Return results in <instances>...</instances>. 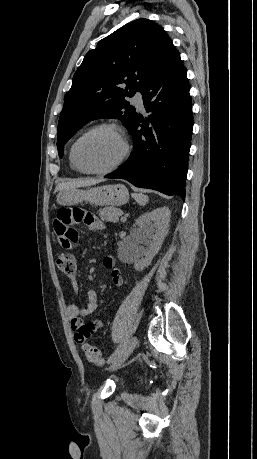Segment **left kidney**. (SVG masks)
<instances>
[{"label":"left kidney","mask_w":257,"mask_h":459,"mask_svg":"<svg viewBox=\"0 0 257 459\" xmlns=\"http://www.w3.org/2000/svg\"><path fill=\"white\" fill-rule=\"evenodd\" d=\"M170 222L168 207H160L141 215L135 222L130 249L136 270H143L152 261L162 246ZM145 242L147 247L139 246Z\"/></svg>","instance_id":"obj_1"}]
</instances>
